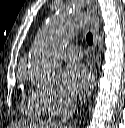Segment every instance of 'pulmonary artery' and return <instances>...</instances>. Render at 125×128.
<instances>
[{"label":"pulmonary artery","instance_id":"1","mask_svg":"<svg viewBox=\"0 0 125 128\" xmlns=\"http://www.w3.org/2000/svg\"><path fill=\"white\" fill-rule=\"evenodd\" d=\"M59 55L66 61H76L82 58L83 53L79 46H71L62 50Z\"/></svg>","mask_w":125,"mask_h":128}]
</instances>
